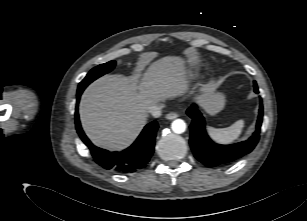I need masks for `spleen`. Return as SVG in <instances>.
I'll list each match as a JSON object with an SVG mask.
<instances>
[{"label":"spleen","mask_w":307,"mask_h":221,"mask_svg":"<svg viewBox=\"0 0 307 221\" xmlns=\"http://www.w3.org/2000/svg\"><path fill=\"white\" fill-rule=\"evenodd\" d=\"M243 127L244 120H238L227 128L207 127V132L215 142L221 144H228L239 137Z\"/></svg>","instance_id":"spleen-1"}]
</instances>
